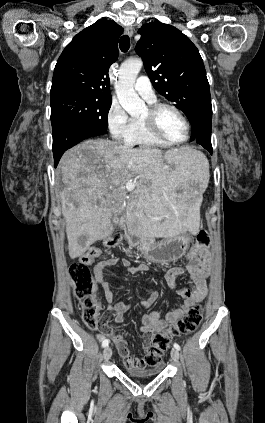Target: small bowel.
<instances>
[{"instance_id":"obj_1","label":"small bowel","mask_w":265,"mask_h":423,"mask_svg":"<svg viewBox=\"0 0 265 423\" xmlns=\"http://www.w3.org/2000/svg\"><path fill=\"white\" fill-rule=\"evenodd\" d=\"M118 261L119 258L116 256H111L102 260L95 265L94 273L96 280L102 287L105 298L108 302L107 310L112 314L113 320L116 324H122L125 319V313L131 308V305L121 301H114V294L107 278V269L114 266ZM121 263L130 273L146 271L148 268L142 263L132 266L127 259H121ZM212 264V256L208 249L205 248L198 254H189L188 263L185 268L173 267L165 271L164 276L168 286L176 290L177 294L184 299V302L181 306L176 307L169 312L165 318H162L158 312L147 313L143 316L140 329L144 335L143 349L145 351L150 346L151 337L155 333L164 330L168 324L176 323L205 296L207 290L206 279L210 275ZM182 274H187L189 276V286L185 288H178L176 278ZM158 296V292H152L140 303V307L143 309L150 308L155 303ZM105 336H109L112 339L127 367H136L137 363L143 360L131 353L126 340L122 336L113 334L112 331L109 333L102 332L98 334V339L102 340Z\"/></svg>"}]
</instances>
